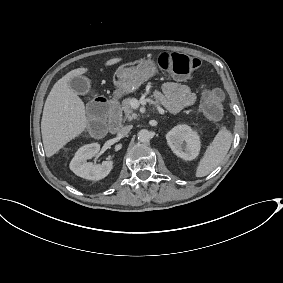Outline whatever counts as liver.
<instances>
[{
  "label": "liver",
  "instance_id": "liver-1",
  "mask_svg": "<svg viewBox=\"0 0 283 283\" xmlns=\"http://www.w3.org/2000/svg\"><path fill=\"white\" fill-rule=\"evenodd\" d=\"M121 58H113L106 66L116 64ZM87 72V68H77L59 79L51 89L43 109L41 134L47 157L57 153L70 140L80 135L87 127L85 106L68 82Z\"/></svg>",
  "mask_w": 283,
  "mask_h": 283
}]
</instances>
